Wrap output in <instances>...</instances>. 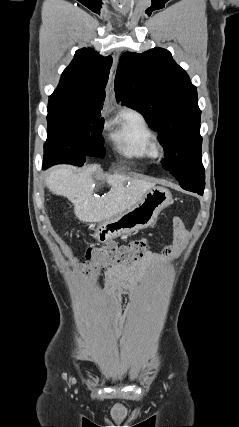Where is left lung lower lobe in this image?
Returning <instances> with one entry per match:
<instances>
[{
  "label": "left lung lower lobe",
  "mask_w": 239,
  "mask_h": 427,
  "mask_svg": "<svg viewBox=\"0 0 239 427\" xmlns=\"http://www.w3.org/2000/svg\"><path fill=\"white\" fill-rule=\"evenodd\" d=\"M180 186L191 192H195L199 195H203L205 187V173L201 174L198 178L187 184H180Z\"/></svg>",
  "instance_id": "left-lung-lower-lobe-1"
}]
</instances>
